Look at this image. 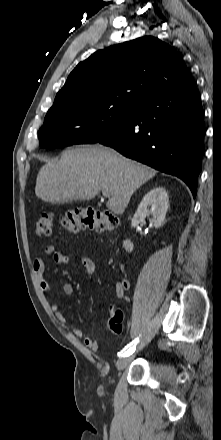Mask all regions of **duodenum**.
Returning <instances> with one entry per match:
<instances>
[{
  "label": "duodenum",
  "instance_id": "obj_1",
  "mask_svg": "<svg viewBox=\"0 0 221 440\" xmlns=\"http://www.w3.org/2000/svg\"><path fill=\"white\" fill-rule=\"evenodd\" d=\"M124 247H125L126 250H130V249H131V244H130V242H129V241H125V242H124Z\"/></svg>",
  "mask_w": 221,
  "mask_h": 440
}]
</instances>
